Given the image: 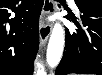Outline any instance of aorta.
I'll return each instance as SVG.
<instances>
[{
    "mask_svg": "<svg viewBox=\"0 0 102 75\" xmlns=\"http://www.w3.org/2000/svg\"><path fill=\"white\" fill-rule=\"evenodd\" d=\"M64 29L60 23H56L49 39L46 61L49 67H56L62 57L64 49Z\"/></svg>",
    "mask_w": 102,
    "mask_h": 75,
    "instance_id": "1",
    "label": "aorta"
}]
</instances>
